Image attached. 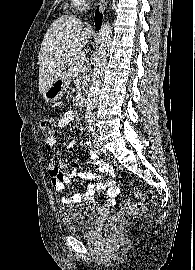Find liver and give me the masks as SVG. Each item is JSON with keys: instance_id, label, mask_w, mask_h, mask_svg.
I'll list each match as a JSON object with an SVG mask.
<instances>
[{"instance_id": "liver-1", "label": "liver", "mask_w": 195, "mask_h": 270, "mask_svg": "<svg viewBox=\"0 0 195 270\" xmlns=\"http://www.w3.org/2000/svg\"><path fill=\"white\" fill-rule=\"evenodd\" d=\"M91 35V29L72 15H63L50 25L39 52L41 94L62 74L72 54L87 45Z\"/></svg>"}]
</instances>
